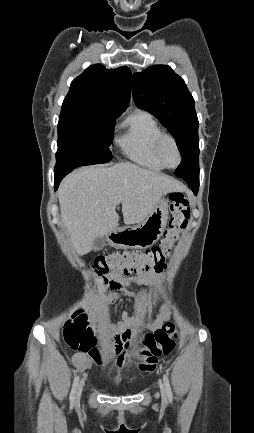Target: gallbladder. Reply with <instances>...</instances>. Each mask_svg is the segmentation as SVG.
Listing matches in <instances>:
<instances>
[{
    "instance_id": "obj_1",
    "label": "gallbladder",
    "mask_w": 254,
    "mask_h": 433,
    "mask_svg": "<svg viewBox=\"0 0 254 433\" xmlns=\"http://www.w3.org/2000/svg\"><path fill=\"white\" fill-rule=\"evenodd\" d=\"M105 246V240L103 237H98L93 242V250L99 251Z\"/></svg>"
}]
</instances>
